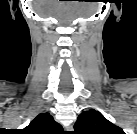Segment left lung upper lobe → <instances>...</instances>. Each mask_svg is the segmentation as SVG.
Masks as SVG:
<instances>
[{
	"label": "left lung upper lobe",
	"mask_w": 137,
	"mask_h": 134,
	"mask_svg": "<svg viewBox=\"0 0 137 134\" xmlns=\"http://www.w3.org/2000/svg\"><path fill=\"white\" fill-rule=\"evenodd\" d=\"M75 134H125L100 112L90 109L82 112L74 125Z\"/></svg>",
	"instance_id": "obj_1"
}]
</instances>
